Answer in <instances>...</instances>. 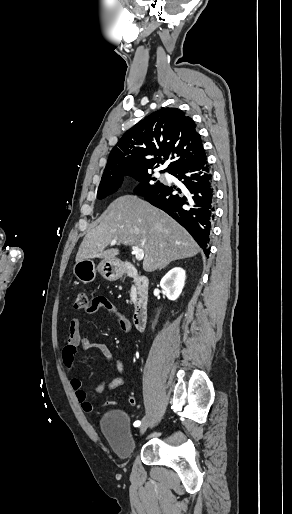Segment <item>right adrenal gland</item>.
<instances>
[{
  "instance_id": "2a0ac1e0",
  "label": "right adrenal gland",
  "mask_w": 292,
  "mask_h": 514,
  "mask_svg": "<svg viewBox=\"0 0 292 514\" xmlns=\"http://www.w3.org/2000/svg\"><path fill=\"white\" fill-rule=\"evenodd\" d=\"M166 266H168V264H166ZM163 268H165V266H163ZM160 270H161V268H160Z\"/></svg>"
}]
</instances>
